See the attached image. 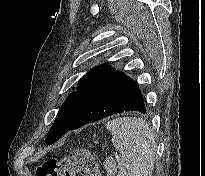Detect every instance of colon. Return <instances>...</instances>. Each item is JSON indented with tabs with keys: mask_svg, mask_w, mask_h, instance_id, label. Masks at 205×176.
<instances>
[{
	"mask_svg": "<svg viewBox=\"0 0 205 176\" xmlns=\"http://www.w3.org/2000/svg\"><path fill=\"white\" fill-rule=\"evenodd\" d=\"M36 176H102L98 162L88 149H78L36 168Z\"/></svg>",
	"mask_w": 205,
	"mask_h": 176,
	"instance_id": "obj_1",
	"label": "colon"
}]
</instances>
